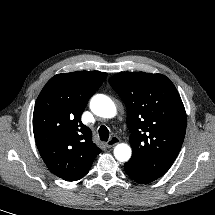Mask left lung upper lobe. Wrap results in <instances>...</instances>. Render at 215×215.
Instances as JSON below:
<instances>
[{
    "instance_id": "left-lung-upper-lobe-1",
    "label": "left lung upper lobe",
    "mask_w": 215,
    "mask_h": 215,
    "mask_svg": "<svg viewBox=\"0 0 215 215\" xmlns=\"http://www.w3.org/2000/svg\"><path fill=\"white\" fill-rule=\"evenodd\" d=\"M109 82L127 108L133 154L125 164L162 177L178 156L186 132V112L178 91L161 74L125 72Z\"/></svg>"
}]
</instances>
